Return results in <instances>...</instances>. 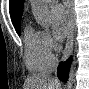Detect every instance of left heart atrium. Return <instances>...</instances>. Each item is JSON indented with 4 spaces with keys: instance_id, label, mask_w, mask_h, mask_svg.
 <instances>
[{
    "instance_id": "obj_1",
    "label": "left heart atrium",
    "mask_w": 89,
    "mask_h": 89,
    "mask_svg": "<svg viewBox=\"0 0 89 89\" xmlns=\"http://www.w3.org/2000/svg\"><path fill=\"white\" fill-rule=\"evenodd\" d=\"M52 31L57 40H62L68 29V17L64 8L60 5L51 10Z\"/></svg>"
}]
</instances>
